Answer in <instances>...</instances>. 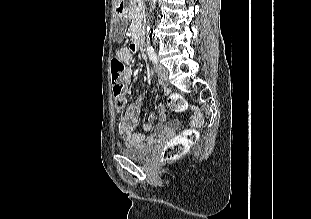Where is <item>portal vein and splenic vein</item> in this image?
I'll return each instance as SVG.
<instances>
[{
  "label": "portal vein and splenic vein",
  "instance_id": "18ae733b",
  "mask_svg": "<svg viewBox=\"0 0 311 219\" xmlns=\"http://www.w3.org/2000/svg\"><path fill=\"white\" fill-rule=\"evenodd\" d=\"M136 1L141 2L142 0H136Z\"/></svg>",
  "mask_w": 311,
  "mask_h": 219
}]
</instances>
